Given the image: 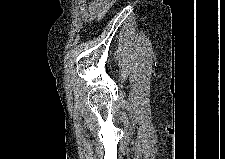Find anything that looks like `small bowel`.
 <instances>
[{"label": "small bowel", "instance_id": "1", "mask_svg": "<svg viewBox=\"0 0 225 159\" xmlns=\"http://www.w3.org/2000/svg\"><path fill=\"white\" fill-rule=\"evenodd\" d=\"M110 4V0H97L89 4L85 0H81L78 2V10L85 20L100 19Z\"/></svg>", "mask_w": 225, "mask_h": 159}]
</instances>
